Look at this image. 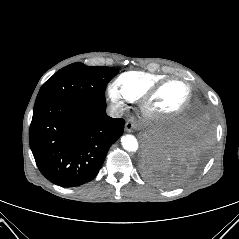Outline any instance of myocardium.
I'll use <instances>...</instances> for the list:
<instances>
[{
    "instance_id": "obj_1",
    "label": "myocardium",
    "mask_w": 239,
    "mask_h": 239,
    "mask_svg": "<svg viewBox=\"0 0 239 239\" xmlns=\"http://www.w3.org/2000/svg\"><path fill=\"white\" fill-rule=\"evenodd\" d=\"M174 82H181L187 87V96L180 107L171 112L156 111L152 108L153 100L160 94V92L169 84ZM192 99V86L188 81L179 78H167L152 88H150L141 98L140 105L143 113L151 119H170L182 114L189 106Z\"/></svg>"
}]
</instances>
